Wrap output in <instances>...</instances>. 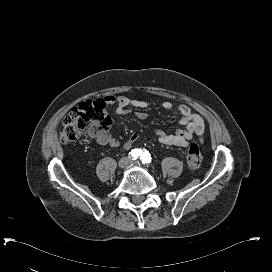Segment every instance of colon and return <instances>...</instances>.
<instances>
[{"instance_id": "5ec220e1", "label": "colon", "mask_w": 272, "mask_h": 272, "mask_svg": "<svg viewBox=\"0 0 272 272\" xmlns=\"http://www.w3.org/2000/svg\"><path fill=\"white\" fill-rule=\"evenodd\" d=\"M111 125L108 103L105 100L87 101L75 107L62 120L59 139L62 143L74 141L83 136L96 138ZM190 170H198L202 163V154L196 144H191L186 155Z\"/></svg>"}]
</instances>
